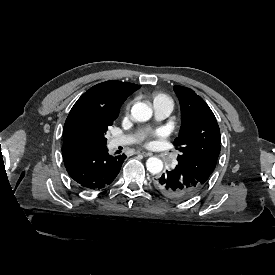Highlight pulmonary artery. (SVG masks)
I'll list each match as a JSON object with an SVG mask.
<instances>
[{"mask_svg": "<svg viewBox=\"0 0 275 275\" xmlns=\"http://www.w3.org/2000/svg\"><path fill=\"white\" fill-rule=\"evenodd\" d=\"M153 109L155 111L153 118L154 122H161L168 119L170 112L172 111V106L169 101L164 98H157L153 102ZM153 122V123H154ZM132 142L131 137H119L113 138L109 142L110 149H116L119 146H123ZM168 164L170 167L175 168L178 166L179 161L177 158L172 157L169 159Z\"/></svg>", "mask_w": 275, "mask_h": 275, "instance_id": "e3ab8cb5", "label": "pulmonary artery"}]
</instances>
